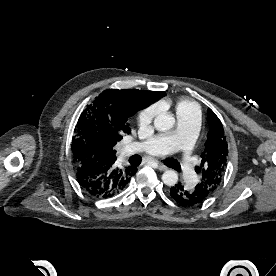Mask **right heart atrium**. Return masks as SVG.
<instances>
[{
	"instance_id": "obj_1",
	"label": "right heart atrium",
	"mask_w": 276,
	"mask_h": 276,
	"mask_svg": "<svg viewBox=\"0 0 276 276\" xmlns=\"http://www.w3.org/2000/svg\"><path fill=\"white\" fill-rule=\"evenodd\" d=\"M156 113L154 106L143 109L138 115V122L141 126L149 124Z\"/></svg>"
}]
</instances>
